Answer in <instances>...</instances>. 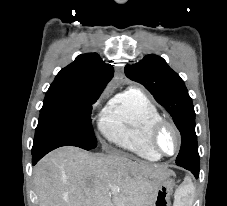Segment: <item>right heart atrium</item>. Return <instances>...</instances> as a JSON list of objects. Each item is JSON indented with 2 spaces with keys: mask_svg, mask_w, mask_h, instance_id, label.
Returning <instances> with one entry per match:
<instances>
[{
  "mask_svg": "<svg viewBox=\"0 0 227 206\" xmlns=\"http://www.w3.org/2000/svg\"><path fill=\"white\" fill-rule=\"evenodd\" d=\"M100 104V100L96 101L94 107H97Z\"/></svg>",
  "mask_w": 227,
  "mask_h": 206,
  "instance_id": "d8ad5b80",
  "label": "right heart atrium"
}]
</instances>
